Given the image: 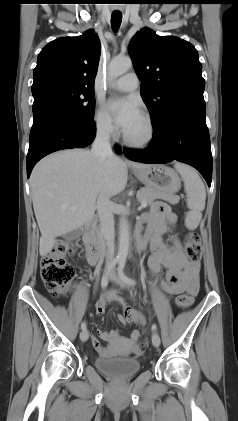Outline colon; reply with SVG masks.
<instances>
[{"mask_svg": "<svg viewBox=\"0 0 238 421\" xmlns=\"http://www.w3.org/2000/svg\"><path fill=\"white\" fill-rule=\"evenodd\" d=\"M69 251L66 244L59 243L41 259V278L47 291L53 297L66 294L74 278V268L65 259V255ZM186 252L188 258L193 262H198L201 259L202 249L198 234L194 232L187 234ZM197 289L198 285L196 284L190 286L191 292ZM192 301L191 293H183L177 297L176 304L180 309H186L192 304ZM143 345L145 346L146 342H143Z\"/></svg>", "mask_w": 238, "mask_h": 421, "instance_id": "1", "label": "colon"}]
</instances>
